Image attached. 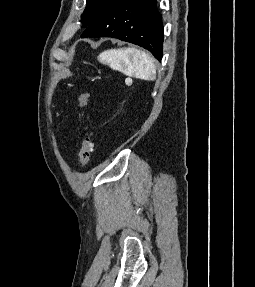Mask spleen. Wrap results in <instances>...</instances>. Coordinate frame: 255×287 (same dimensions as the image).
Returning <instances> with one entry per match:
<instances>
[{
    "mask_svg": "<svg viewBox=\"0 0 255 287\" xmlns=\"http://www.w3.org/2000/svg\"><path fill=\"white\" fill-rule=\"evenodd\" d=\"M99 62L110 66L112 70H123L124 74L138 80H155V60L134 48H120V50H106L98 56Z\"/></svg>",
    "mask_w": 255,
    "mask_h": 287,
    "instance_id": "spleen-1",
    "label": "spleen"
}]
</instances>
